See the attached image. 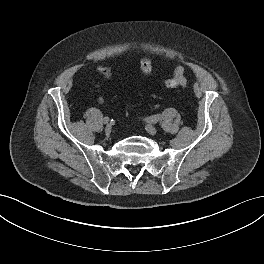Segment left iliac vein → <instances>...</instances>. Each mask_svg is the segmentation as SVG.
<instances>
[{"label": "left iliac vein", "mask_w": 264, "mask_h": 264, "mask_svg": "<svg viewBox=\"0 0 264 264\" xmlns=\"http://www.w3.org/2000/svg\"><path fill=\"white\" fill-rule=\"evenodd\" d=\"M145 129L150 135H154L157 132V129L153 125H150V124L146 125Z\"/></svg>", "instance_id": "left-iliac-vein-1"}]
</instances>
